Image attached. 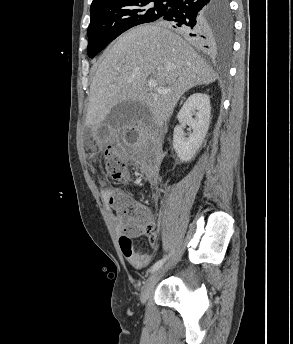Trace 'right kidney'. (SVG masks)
I'll return each instance as SVG.
<instances>
[{"label":"right kidney","instance_id":"obj_1","mask_svg":"<svg viewBox=\"0 0 293 344\" xmlns=\"http://www.w3.org/2000/svg\"><path fill=\"white\" fill-rule=\"evenodd\" d=\"M210 116V98L207 94L194 93L183 104L177 115L178 121L192 128L193 133L185 138L182 126L177 125L174 128L173 148L182 162L191 160L203 144L209 129Z\"/></svg>","mask_w":293,"mask_h":344}]
</instances>
